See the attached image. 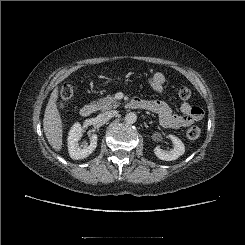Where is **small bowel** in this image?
I'll return each instance as SVG.
<instances>
[{
  "label": "small bowel",
  "mask_w": 245,
  "mask_h": 245,
  "mask_svg": "<svg viewBox=\"0 0 245 245\" xmlns=\"http://www.w3.org/2000/svg\"><path fill=\"white\" fill-rule=\"evenodd\" d=\"M150 86L158 93H162L166 84V76L161 72H156L151 77ZM143 109L156 113L159 116L160 124L167 129H178L190 126L203 118V109L199 106H193L189 103H183L180 106L181 115L173 114L169 105L161 100H142Z\"/></svg>",
  "instance_id": "1"
}]
</instances>
